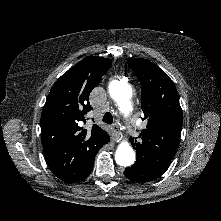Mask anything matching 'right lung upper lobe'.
Returning a JSON list of instances; mask_svg holds the SVG:
<instances>
[{
    "mask_svg": "<svg viewBox=\"0 0 221 221\" xmlns=\"http://www.w3.org/2000/svg\"><path fill=\"white\" fill-rule=\"evenodd\" d=\"M111 60L89 56L65 72L52 86L41 115V134L50 169L67 183L79 181L109 136L98 125L82 127L92 110L91 91L110 69Z\"/></svg>",
    "mask_w": 221,
    "mask_h": 221,
    "instance_id": "1",
    "label": "right lung upper lobe"
}]
</instances>
